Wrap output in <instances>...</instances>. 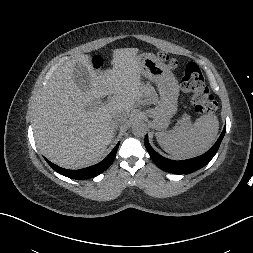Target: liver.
Instances as JSON below:
<instances>
[{"mask_svg":"<svg viewBox=\"0 0 253 253\" xmlns=\"http://www.w3.org/2000/svg\"><path fill=\"white\" fill-rule=\"evenodd\" d=\"M138 49L113 51L112 70L94 69L90 56L67 61L49 79L33 109V131L39 150L53 163L80 169L96 163L112 142L114 114L129 116L148 95L141 81ZM84 65L90 87L82 92L73 78L76 63ZM106 104L100 98L111 96Z\"/></svg>","mask_w":253,"mask_h":253,"instance_id":"1","label":"liver"}]
</instances>
